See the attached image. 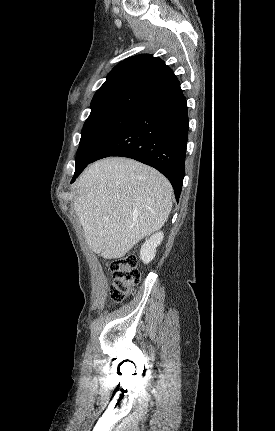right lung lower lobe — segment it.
I'll return each instance as SVG.
<instances>
[{
	"mask_svg": "<svg viewBox=\"0 0 275 431\" xmlns=\"http://www.w3.org/2000/svg\"><path fill=\"white\" fill-rule=\"evenodd\" d=\"M188 128L186 99L179 85L136 110L89 163L122 156L152 166L169 179L178 201L184 178ZM82 171L76 172L71 182Z\"/></svg>",
	"mask_w": 275,
	"mask_h": 431,
	"instance_id": "right-lung-lower-lobe-1",
	"label": "right lung lower lobe"
}]
</instances>
